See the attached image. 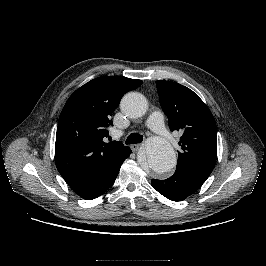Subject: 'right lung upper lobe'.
<instances>
[{"instance_id": "cb5924a9", "label": "right lung upper lobe", "mask_w": 266, "mask_h": 266, "mask_svg": "<svg viewBox=\"0 0 266 266\" xmlns=\"http://www.w3.org/2000/svg\"><path fill=\"white\" fill-rule=\"evenodd\" d=\"M141 83L126 77L103 76L69 97L59 117L55 143L56 167L65 181L117 161L129 149L120 141L104 140L122 96Z\"/></svg>"}]
</instances>
